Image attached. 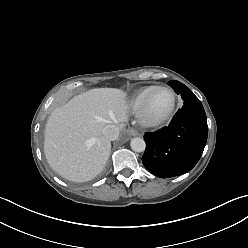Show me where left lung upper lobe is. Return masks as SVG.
Wrapping results in <instances>:
<instances>
[{"label": "left lung upper lobe", "mask_w": 248, "mask_h": 248, "mask_svg": "<svg viewBox=\"0 0 248 248\" xmlns=\"http://www.w3.org/2000/svg\"><path fill=\"white\" fill-rule=\"evenodd\" d=\"M168 85H170L177 94H181L185 102L194 99L196 97L188 87H186L184 84H182L179 81L172 80L168 82Z\"/></svg>", "instance_id": "left-lung-upper-lobe-1"}]
</instances>
